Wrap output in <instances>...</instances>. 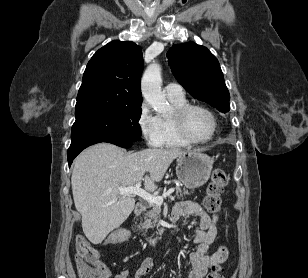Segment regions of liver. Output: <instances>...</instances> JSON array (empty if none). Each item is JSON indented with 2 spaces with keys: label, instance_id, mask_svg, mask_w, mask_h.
Masks as SVG:
<instances>
[{
  "label": "liver",
  "instance_id": "obj_1",
  "mask_svg": "<svg viewBox=\"0 0 308 278\" xmlns=\"http://www.w3.org/2000/svg\"><path fill=\"white\" fill-rule=\"evenodd\" d=\"M185 153L181 149L149 148L126 154L118 146L104 142L82 151L74 160L71 185L88 240L101 243L132 213L135 199L120 195V187L143 180L145 189L154 191L173 160Z\"/></svg>",
  "mask_w": 308,
  "mask_h": 278
}]
</instances>
